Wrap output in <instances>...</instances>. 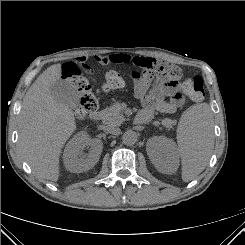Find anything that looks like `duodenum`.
<instances>
[{
	"label": "duodenum",
	"mask_w": 245,
	"mask_h": 245,
	"mask_svg": "<svg viewBox=\"0 0 245 245\" xmlns=\"http://www.w3.org/2000/svg\"><path fill=\"white\" fill-rule=\"evenodd\" d=\"M91 118L93 120H95V121L100 120L101 119V112L100 111L93 112L92 115H91ZM136 121L138 123H144V122H146V118L144 116L138 114L137 117H136Z\"/></svg>",
	"instance_id": "duodenum-1"
}]
</instances>
